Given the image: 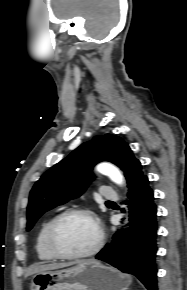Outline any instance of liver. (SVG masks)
I'll return each mask as SVG.
<instances>
[{"label": "liver", "instance_id": "obj_1", "mask_svg": "<svg viewBox=\"0 0 187 290\" xmlns=\"http://www.w3.org/2000/svg\"><path fill=\"white\" fill-rule=\"evenodd\" d=\"M90 261H93V260L82 261V262H77V263L69 262V263H50V264L33 265L28 269L26 277L29 275H32V274H37V273H41V272H46V271H50V270H55V269H60V268L72 266L74 264L82 265V264H85V263L90 262Z\"/></svg>", "mask_w": 187, "mask_h": 290}]
</instances>
